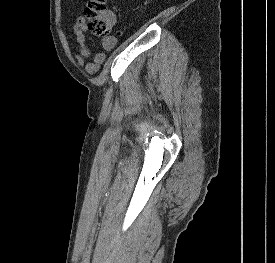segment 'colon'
<instances>
[{
  "instance_id": "1",
  "label": "colon",
  "mask_w": 275,
  "mask_h": 263,
  "mask_svg": "<svg viewBox=\"0 0 275 263\" xmlns=\"http://www.w3.org/2000/svg\"><path fill=\"white\" fill-rule=\"evenodd\" d=\"M108 0H88L84 10L88 18V29L95 35L109 38L112 25L104 14Z\"/></svg>"
}]
</instances>
